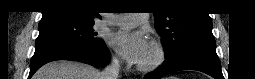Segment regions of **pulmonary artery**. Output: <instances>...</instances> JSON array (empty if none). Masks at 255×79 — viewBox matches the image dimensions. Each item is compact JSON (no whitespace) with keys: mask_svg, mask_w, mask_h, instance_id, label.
Listing matches in <instances>:
<instances>
[{"mask_svg":"<svg viewBox=\"0 0 255 79\" xmlns=\"http://www.w3.org/2000/svg\"><path fill=\"white\" fill-rule=\"evenodd\" d=\"M149 19L148 13L142 14H121L115 15L109 21V23L117 24V25H130L134 23L145 22Z\"/></svg>","mask_w":255,"mask_h":79,"instance_id":"pulmonary-artery-1","label":"pulmonary artery"}]
</instances>
